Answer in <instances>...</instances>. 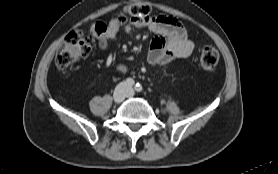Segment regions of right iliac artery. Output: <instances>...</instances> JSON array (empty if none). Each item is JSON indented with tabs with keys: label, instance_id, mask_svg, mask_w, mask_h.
<instances>
[{
	"label": "right iliac artery",
	"instance_id": "right-iliac-artery-1",
	"mask_svg": "<svg viewBox=\"0 0 278 174\" xmlns=\"http://www.w3.org/2000/svg\"><path fill=\"white\" fill-rule=\"evenodd\" d=\"M125 83L128 85V86H133L135 84L134 80L132 78H127L125 80Z\"/></svg>",
	"mask_w": 278,
	"mask_h": 174
}]
</instances>
